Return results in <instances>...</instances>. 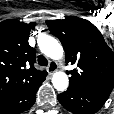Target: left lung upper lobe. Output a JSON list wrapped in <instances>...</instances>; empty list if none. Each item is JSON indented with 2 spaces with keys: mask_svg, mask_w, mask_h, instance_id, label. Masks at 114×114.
<instances>
[{
  "mask_svg": "<svg viewBox=\"0 0 114 114\" xmlns=\"http://www.w3.org/2000/svg\"><path fill=\"white\" fill-rule=\"evenodd\" d=\"M46 24L61 41L66 63L77 64V69L68 71L69 86L109 96L114 87V53L100 31L76 16L49 20Z\"/></svg>",
  "mask_w": 114,
  "mask_h": 114,
  "instance_id": "obj_1",
  "label": "left lung upper lobe"
}]
</instances>
